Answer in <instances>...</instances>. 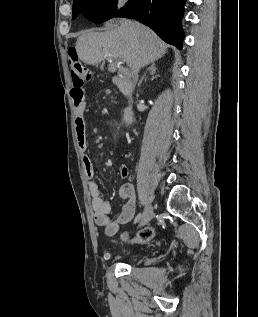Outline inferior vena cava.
Listing matches in <instances>:
<instances>
[{"label":"inferior vena cava","mask_w":258,"mask_h":317,"mask_svg":"<svg viewBox=\"0 0 258 317\" xmlns=\"http://www.w3.org/2000/svg\"><path fill=\"white\" fill-rule=\"evenodd\" d=\"M140 66L138 64L136 70H134V68H132L133 72H134V76H133V84L132 86H135L137 80H138V70H139Z\"/></svg>","instance_id":"1"}]
</instances>
